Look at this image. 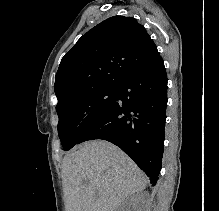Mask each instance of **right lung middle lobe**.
Segmentation results:
<instances>
[{
    "label": "right lung middle lobe",
    "instance_id": "1",
    "mask_svg": "<svg viewBox=\"0 0 219 211\" xmlns=\"http://www.w3.org/2000/svg\"><path fill=\"white\" fill-rule=\"evenodd\" d=\"M115 87H99L79 94L56 106L58 134L63 149L69 150L115 100Z\"/></svg>",
    "mask_w": 219,
    "mask_h": 211
}]
</instances>
